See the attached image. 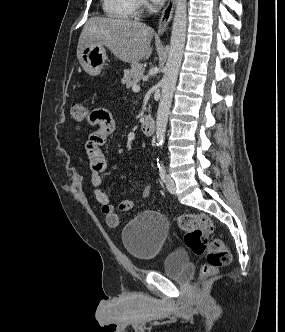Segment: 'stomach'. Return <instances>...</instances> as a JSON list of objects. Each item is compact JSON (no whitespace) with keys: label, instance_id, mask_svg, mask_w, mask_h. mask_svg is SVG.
I'll return each mask as SVG.
<instances>
[{"label":"stomach","instance_id":"obj_1","mask_svg":"<svg viewBox=\"0 0 285 332\" xmlns=\"http://www.w3.org/2000/svg\"><path fill=\"white\" fill-rule=\"evenodd\" d=\"M107 60L106 50L102 45H87L79 60L83 69L91 76L100 75Z\"/></svg>","mask_w":285,"mask_h":332}]
</instances>
